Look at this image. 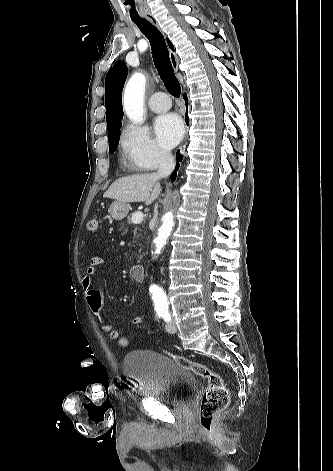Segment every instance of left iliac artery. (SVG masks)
<instances>
[{"instance_id":"obj_1","label":"left iliac artery","mask_w":333,"mask_h":471,"mask_svg":"<svg viewBox=\"0 0 333 471\" xmlns=\"http://www.w3.org/2000/svg\"><path fill=\"white\" fill-rule=\"evenodd\" d=\"M159 316L164 319V321L169 322L171 320L170 314L168 311L159 313Z\"/></svg>"}]
</instances>
